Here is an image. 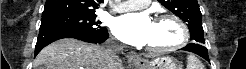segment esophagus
<instances>
[{"instance_id": "obj_1", "label": "esophagus", "mask_w": 246, "mask_h": 69, "mask_svg": "<svg viewBox=\"0 0 246 69\" xmlns=\"http://www.w3.org/2000/svg\"><path fill=\"white\" fill-rule=\"evenodd\" d=\"M137 59L136 53L135 52H130V60L134 61Z\"/></svg>"}]
</instances>
